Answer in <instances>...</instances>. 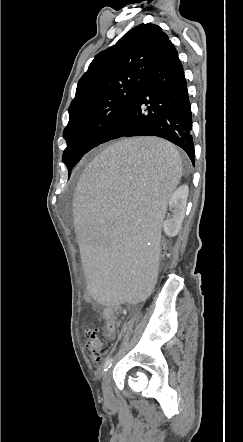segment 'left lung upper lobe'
<instances>
[{
	"label": "left lung upper lobe",
	"mask_w": 243,
	"mask_h": 442,
	"mask_svg": "<svg viewBox=\"0 0 243 442\" xmlns=\"http://www.w3.org/2000/svg\"><path fill=\"white\" fill-rule=\"evenodd\" d=\"M168 36L154 24H140L101 51L80 78L63 131L62 160L69 170L126 115ZM108 130L107 132H104Z\"/></svg>",
	"instance_id": "5c2ea615"
}]
</instances>
